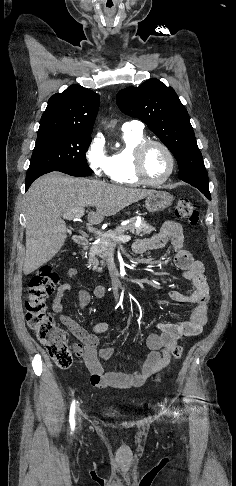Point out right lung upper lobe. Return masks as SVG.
<instances>
[{
	"mask_svg": "<svg viewBox=\"0 0 236 486\" xmlns=\"http://www.w3.org/2000/svg\"><path fill=\"white\" fill-rule=\"evenodd\" d=\"M99 108V96L80 85H71L51 96L43 113L39 130H63L92 133Z\"/></svg>",
	"mask_w": 236,
	"mask_h": 486,
	"instance_id": "cb5924a9",
	"label": "right lung upper lobe"
}]
</instances>
